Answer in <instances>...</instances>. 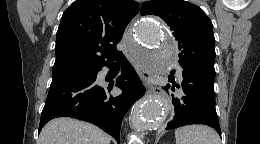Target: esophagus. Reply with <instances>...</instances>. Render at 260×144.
<instances>
[{
    "mask_svg": "<svg viewBox=\"0 0 260 144\" xmlns=\"http://www.w3.org/2000/svg\"><path fill=\"white\" fill-rule=\"evenodd\" d=\"M137 70H138V73L139 75L148 81V93L150 95H156V94H159L160 93V88L156 85H153L151 84L149 81H150V78H151V73H149L148 71L140 68L139 66H136Z\"/></svg>",
    "mask_w": 260,
    "mask_h": 144,
    "instance_id": "34e87169",
    "label": "esophagus"
}]
</instances>
